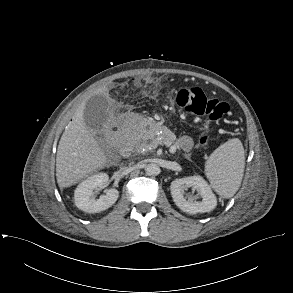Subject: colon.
Segmentation results:
<instances>
[{
    "instance_id": "obj_1",
    "label": "colon",
    "mask_w": 293,
    "mask_h": 293,
    "mask_svg": "<svg viewBox=\"0 0 293 293\" xmlns=\"http://www.w3.org/2000/svg\"><path fill=\"white\" fill-rule=\"evenodd\" d=\"M140 82V79H137ZM177 104L185 112L193 115L207 116L212 121H217L229 111L228 103L217 98L208 97L205 92L196 86L181 88L176 96ZM208 141L207 137L200 140L201 144Z\"/></svg>"
}]
</instances>
